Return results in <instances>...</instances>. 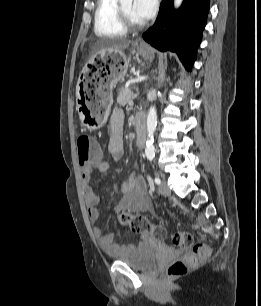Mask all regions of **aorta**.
Wrapping results in <instances>:
<instances>
[{"label":"aorta","instance_id":"762f6f07","mask_svg":"<svg viewBox=\"0 0 261 306\" xmlns=\"http://www.w3.org/2000/svg\"><path fill=\"white\" fill-rule=\"evenodd\" d=\"M120 2H132V0H120ZM183 0H174V7L178 8L181 6ZM157 125V113L155 107H150L148 116H147V135L148 139L146 141L145 154L147 157L154 155V132Z\"/></svg>","mask_w":261,"mask_h":306}]
</instances>
